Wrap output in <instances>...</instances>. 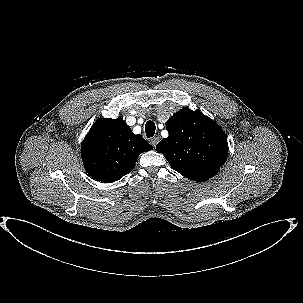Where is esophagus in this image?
I'll return each mask as SVG.
<instances>
[{"instance_id": "34e87169", "label": "esophagus", "mask_w": 303, "mask_h": 303, "mask_svg": "<svg viewBox=\"0 0 303 303\" xmlns=\"http://www.w3.org/2000/svg\"><path fill=\"white\" fill-rule=\"evenodd\" d=\"M159 142V137H153L150 140V143L153 147H156L157 143Z\"/></svg>"}]
</instances>
